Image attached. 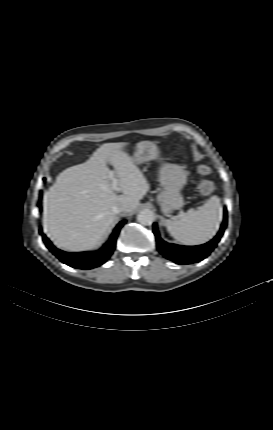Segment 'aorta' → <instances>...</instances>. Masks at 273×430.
Instances as JSON below:
<instances>
[{
    "instance_id": "obj_1",
    "label": "aorta",
    "mask_w": 273,
    "mask_h": 430,
    "mask_svg": "<svg viewBox=\"0 0 273 430\" xmlns=\"http://www.w3.org/2000/svg\"><path fill=\"white\" fill-rule=\"evenodd\" d=\"M154 220H155V214L153 211L149 209L142 210L137 215V221L142 225H146V226L152 225Z\"/></svg>"
}]
</instances>
